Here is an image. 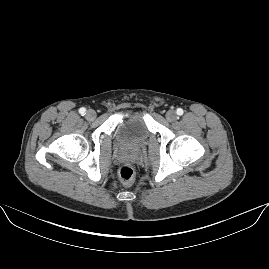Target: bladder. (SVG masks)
<instances>
[{
    "instance_id": "obj_1",
    "label": "bladder",
    "mask_w": 269,
    "mask_h": 269,
    "mask_svg": "<svg viewBox=\"0 0 269 269\" xmlns=\"http://www.w3.org/2000/svg\"><path fill=\"white\" fill-rule=\"evenodd\" d=\"M147 121L142 113L135 112L118 128L119 142L130 148L140 147L147 139Z\"/></svg>"
}]
</instances>
